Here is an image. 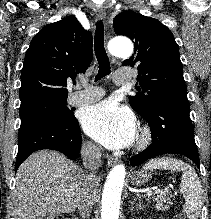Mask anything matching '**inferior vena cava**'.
<instances>
[{
  "mask_svg": "<svg viewBox=\"0 0 211 219\" xmlns=\"http://www.w3.org/2000/svg\"><path fill=\"white\" fill-rule=\"evenodd\" d=\"M81 157L87 171L85 172V186L77 200L78 210L83 218L89 217L94 203L93 192L98 185L97 171L101 166V150L91 142L81 146Z\"/></svg>",
  "mask_w": 211,
  "mask_h": 219,
  "instance_id": "1",
  "label": "inferior vena cava"
}]
</instances>
